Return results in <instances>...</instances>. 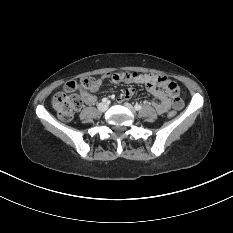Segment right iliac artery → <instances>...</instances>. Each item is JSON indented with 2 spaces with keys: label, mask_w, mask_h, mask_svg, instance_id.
Returning <instances> with one entry per match:
<instances>
[{
  "label": "right iliac artery",
  "mask_w": 233,
  "mask_h": 233,
  "mask_svg": "<svg viewBox=\"0 0 233 233\" xmlns=\"http://www.w3.org/2000/svg\"><path fill=\"white\" fill-rule=\"evenodd\" d=\"M102 102H103V103H106V102H108V99H107V98H103V99H102Z\"/></svg>",
  "instance_id": "1"
}]
</instances>
